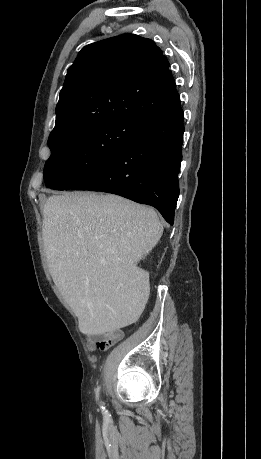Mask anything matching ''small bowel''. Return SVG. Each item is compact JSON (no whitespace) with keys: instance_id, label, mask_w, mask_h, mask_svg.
Masks as SVG:
<instances>
[{"instance_id":"c3829d8e","label":"small bowel","mask_w":261,"mask_h":459,"mask_svg":"<svg viewBox=\"0 0 261 459\" xmlns=\"http://www.w3.org/2000/svg\"><path fill=\"white\" fill-rule=\"evenodd\" d=\"M88 338V347L93 350L95 347L104 349L118 342L123 338L122 330H103L95 326H88L84 330Z\"/></svg>"}]
</instances>
